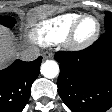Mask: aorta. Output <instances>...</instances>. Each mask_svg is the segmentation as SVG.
<instances>
[{
  "mask_svg": "<svg viewBox=\"0 0 112 112\" xmlns=\"http://www.w3.org/2000/svg\"><path fill=\"white\" fill-rule=\"evenodd\" d=\"M41 74L48 78L52 79L58 76L59 74V65L56 61L54 60H46L42 65H41Z\"/></svg>",
  "mask_w": 112,
  "mask_h": 112,
  "instance_id": "aorta-1",
  "label": "aorta"
}]
</instances>
